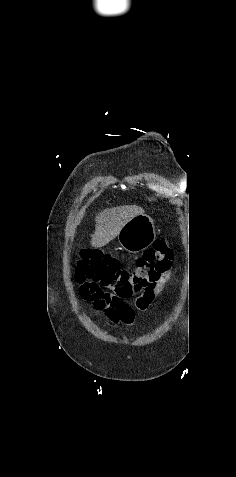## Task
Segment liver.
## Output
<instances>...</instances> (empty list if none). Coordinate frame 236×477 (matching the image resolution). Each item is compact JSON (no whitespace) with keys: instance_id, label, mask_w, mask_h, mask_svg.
<instances>
[{"instance_id":"6515ba94","label":"liver","mask_w":236,"mask_h":477,"mask_svg":"<svg viewBox=\"0 0 236 477\" xmlns=\"http://www.w3.org/2000/svg\"><path fill=\"white\" fill-rule=\"evenodd\" d=\"M144 214V210L135 205L120 206L102 211L96 217V228L91 245L103 247L113 240L123 226L133 217Z\"/></svg>"}]
</instances>
